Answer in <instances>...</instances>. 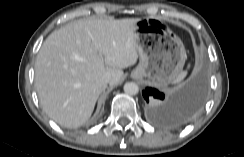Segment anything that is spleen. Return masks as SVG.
<instances>
[{"label":"spleen","instance_id":"obj_1","mask_svg":"<svg viewBox=\"0 0 244 157\" xmlns=\"http://www.w3.org/2000/svg\"><path fill=\"white\" fill-rule=\"evenodd\" d=\"M186 75H187V72L186 71L180 72L179 75L173 81V83H179V82H181L185 78Z\"/></svg>","mask_w":244,"mask_h":157}]
</instances>
